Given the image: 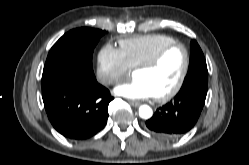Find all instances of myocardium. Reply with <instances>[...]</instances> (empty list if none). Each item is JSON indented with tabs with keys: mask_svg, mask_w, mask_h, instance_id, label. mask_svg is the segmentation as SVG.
<instances>
[{
	"mask_svg": "<svg viewBox=\"0 0 249 165\" xmlns=\"http://www.w3.org/2000/svg\"><path fill=\"white\" fill-rule=\"evenodd\" d=\"M181 48L184 53V65L176 84L166 93L154 96L158 102H165L174 97L182 88L190 67V54L188 48L180 42H173L160 48L150 59L137 65L134 71L148 70L157 66L163 57L172 49Z\"/></svg>",
	"mask_w": 249,
	"mask_h": 165,
	"instance_id": "obj_1",
	"label": "myocardium"
}]
</instances>
